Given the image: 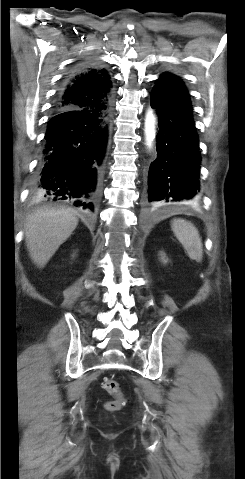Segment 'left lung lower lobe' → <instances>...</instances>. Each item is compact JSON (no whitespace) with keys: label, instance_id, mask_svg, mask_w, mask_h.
I'll return each mask as SVG.
<instances>
[{"label":"left lung lower lobe","instance_id":"left-lung-lower-lobe-1","mask_svg":"<svg viewBox=\"0 0 245 479\" xmlns=\"http://www.w3.org/2000/svg\"><path fill=\"white\" fill-rule=\"evenodd\" d=\"M150 100L158 115L159 131L146 202L182 205L193 201L199 192L201 158L189 94L178 77L162 75Z\"/></svg>","mask_w":245,"mask_h":479}]
</instances>
